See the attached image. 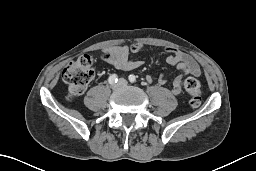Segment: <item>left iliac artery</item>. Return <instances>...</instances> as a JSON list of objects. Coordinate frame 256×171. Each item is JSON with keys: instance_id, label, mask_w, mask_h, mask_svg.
<instances>
[{"instance_id": "obj_1", "label": "left iliac artery", "mask_w": 256, "mask_h": 171, "mask_svg": "<svg viewBox=\"0 0 256 171\" xmlns=\"http://www.w3.org/2000/svg\"><path fill=\"white\" fill-rule=\"evenodd\" d=\"M128 79H129V81H130L131 83L136 82V77H135V75H133V74L129 75Z\"/></svg>"}]
</instances>
